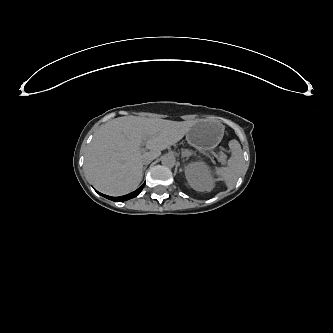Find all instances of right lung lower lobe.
<instances>
[{"label":"right lung lower lobe","instance_id":"1","mask_svg":"<svg viewBox=\"0 0 333 333\" xmlns=\"http://www.w3.org/2000/svg\"><path fill=\"white\" fill-rule=\"evenodd\" d=\"M145 184H143L141 187H139L136 191H134L133 193H130L126 196H134V195H137L141 192V190L143 189ZM126 196H122V197H119V198H125ZM111 198V197H110ZM119 200V199H118Z\"/></svg>","mask_w":333,"mask_h":333}]
</instances>
